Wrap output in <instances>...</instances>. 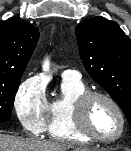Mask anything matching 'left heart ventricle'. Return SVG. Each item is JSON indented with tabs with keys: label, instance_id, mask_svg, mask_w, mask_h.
Masks as SVG:
<instances>
[{
	"label": "left heart ventricle",
	"instance_id": "obj_1",
	"mask_svg": "<svg viewBox=\"0 0 131 151\" xmlns=\"http://www.w3.org/2000/svg\"><path fill=\"white\" fill-rule=\"evenodd\" d=\"M89 125L97 135L110 138L119 132L120 120L115 109L108 102L98 99L91 105Z\"/></svg>",
	"mask_w": 131,
	"mask_h": 151
}]
</instances>
